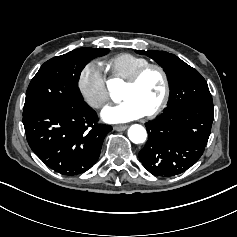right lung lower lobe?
I'll list each match as a JSON object with an SVG mask.
<instances>
[{"label": "right lung lower lobe", "mask_w": 237, "mask_h": 237, "mask_svg": "<svg viewBox=\"0 0 237 237\" xmlns=\"http://www.w3.org/2000/svg\"><path fill=\"white\" fill-rule=\"evenodd\" d=\"M97 114L86 103H59L23 114L28 144L51 169L78 175L99 158L103 140L112 130L97 124Z\"/></svg>", "instance_id": "obj_1"}]
</instances>
